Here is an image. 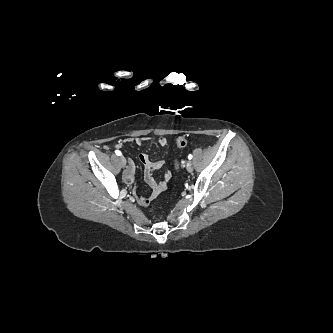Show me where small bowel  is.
Listing matches in <instances>:
<instances>
[{
  "label": "small bowel",
  "mask_w": 333,
  "mask_h": 333,
  "mask_svg": "<svg viewBox=\"0 0 333 333\" xmlns=\"http://www.w3.org/2000/svg\"><path fill=\"white\" fill-rule=\"evenodd\" d=\"M127 142H135L137 145H142L147 141L146 137H128L126 139ZM158 143L160 146H167V139L164 137H160L158 139ZM122 143H117L116 148H121ZM139 161L144 166V176L145 180L151 188V193L148 196H139L137 197V202L141 206H148L150 202L156 198L161 192L166 190L167 183L171 177L170 173H166L161 181H156L153 177V172L162 168L164 162L163 161H151L146 154L138 155ZM134 176H135V164L132 160L129 161L128 167L124 172V181L126 184L130 186H134Z\"/></svg>",
  "instance_id": "obj_1"
}]
</instances>
